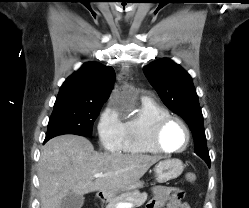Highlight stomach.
I'll return each mask as SVG.
<instances>
[{
    "mask_svg": "<svg viewBox=\"0 0 249 208\" xmlns=\"http://www.w3.org/2000/svg\"><path fill=\"white\" fill-rule=\"evenodd\" d=\"M184 166L183 162L179 159H164L160 161L155 167V177L157 182L164 183L166 181L175 179L181 175L183 172ZM143 184L141 182H137L128 189L124 191H134L138 188H141ZM119 191H107L102 193L103 197L107 200L114 198Z\"/></svg>",
    "mask_w": 249,
    "mask_h": 208,
    "instance_id": "obj_1",
    "label": "stomach"
}]
</instances>
